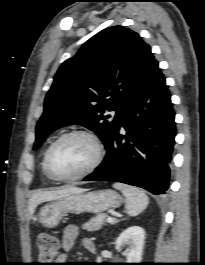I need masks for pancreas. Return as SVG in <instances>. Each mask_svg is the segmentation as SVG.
Listing matches in <instances>:
<instances>
[{
  "label": "pancreas",
  "instance_id": "1",
  "mask_svg": "<svg viewBox=\"0 0 205 265\" xmlns=\"http://www.w3.org/2000/svg\"><path fill=\"white\" fill-rule=\"evenodd\" d=\"M107 214L105 213H100L97 214L96 216L90 218L88 222L83 224V229L87 231H96L101 229L102 225L105 223V220L107 219Z\"/></svg>",
  "mask_w": 205,
  "mask_h": 265
}]
</instances>
